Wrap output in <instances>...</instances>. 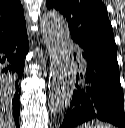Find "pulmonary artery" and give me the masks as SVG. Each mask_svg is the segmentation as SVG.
Listing matches in <instances>:
<instances>
[{"label":"pulmonary artery","instance_id":"pulmonary-artery-1","mask_svg":"<svg viewBox=\"0 0 125 128\" xmlns=\"http://www.w3.org/2000/svg\"><path fill=\"white\" fill-rule=\"evenodd\" d=\"M81 62H82V64L84 63L82 59H81Z\"/></svg>","mask_w":125,"mask_h":128}]
</instances>
